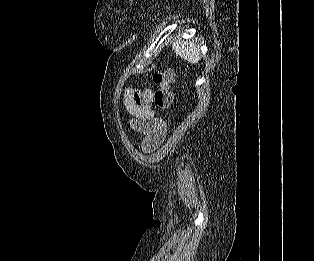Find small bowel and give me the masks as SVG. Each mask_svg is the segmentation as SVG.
I'll use <instances>...</instances> for the list:
<instances>
[{
	"mask_svg": "<svg viewBox=\"0 0 314 261\" xmlns=\"http://www.w3.org/2000/svg\"><path fill=\"white\" fill-rule=\"evenodd\" d=\"M153 92L150 89L128 90L124 95V104L131 114V126L134 131L143 134L142 148L151 152L159 147L166 136V123L157 118L152 109Z\"/></svg>",
	"mask_w": 314,
	"mask_h": 261,
	"instance_id": "c3829d8e",
	"label": "small bowel"
}]
</instances>
